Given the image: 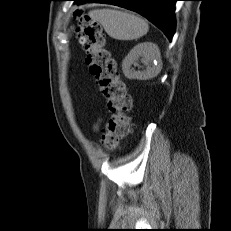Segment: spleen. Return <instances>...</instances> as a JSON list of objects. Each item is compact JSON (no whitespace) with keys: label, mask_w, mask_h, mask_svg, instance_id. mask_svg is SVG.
I'll return each instance as SVG.
<instances>
[{"label":"spleen","mask_w":231,"mask_h":231,"mask_svg":"<svg viewBox=\"0 0 231 231\" xmlns=\"http://www.w3.org/2000/svg\"><path fill=\"white\" fill-rule=\"evenodd\" d=\"M89 14L103 26L110 37L117 40L139 39L149 30L146 20L131 13L115 9H96Z\"/></svg>","instance_id":"spleen-1"}]
</instances>
